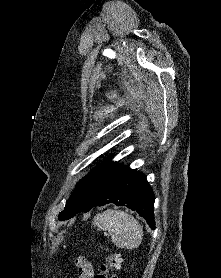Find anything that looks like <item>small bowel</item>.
I'll return each instance as SVG.
<instances>
[{"label": "small bowel", "instance_id": "small-bowel-1", "mask_svg": "<svg viewBox=\"0 0 221 278\" xmlns=\"http://www.w3.org/2000/svg\"><path fill=\"white\" fill-rule=\"evenodd\" d=\"M87 263H89L91 266H93L90 262L86 261Z\"/></svg>", "mask_w": 221, "mask_h": 278}]
</instances>
